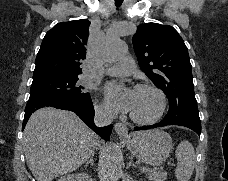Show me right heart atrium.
<instances>
[{"label": "right heart atrium", "mask_w": 228, "mask_h": 181, "mask_svg": "<svg viewBox=\"0 0 228 181\" xmlns=\"http://www.w3.org/2000/svg\"><path fill=\"white\" fill-rule=\"evenodd\" d=\"M97 110L101 113H107V105L105 103H102L97 106Z\"/></svg>", "instance_id": "d8ad5b80"}]
</instances>
